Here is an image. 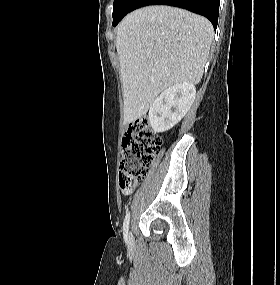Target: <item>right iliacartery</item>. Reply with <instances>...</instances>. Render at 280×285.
I'll return each instance as SVG.
<instances>
[{
	"mask_svg": "<svg viewBox=\"0 0 280 285\" xmlns=\"http://www.w3.org/2000/svg\"><path fill=\"white\" fill-rule=\"evenodd\" d=\"M129 218H130V213L128 212L123 222V231H124V236L126 239H127L128 229H129Z\"/></svg>",
	"mask_w": 280,
	"mask_h": 285,
	"instance_id": "82829eb1",
	"label": "right iliac artery"
}]
</instances>
